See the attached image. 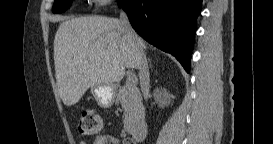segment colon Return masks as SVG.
I'll return each mask as SVG.
<instances>
[{
	"instance_id": "colon-1",
	"label": "colon",
	"mask_w": 273,
	"mask_h": 144,
	"mask_svg": "<svg viewBox=\"0 0 273 144\" xmlns=\"http://www.w3.org/2000/svg\"><path fill=\"white\" fill-rule=\"evenodd\" d=\"M102 130V118L94 108H85L78 121V132L83 136H94Z\"/></svg>"
}]
</instances>
